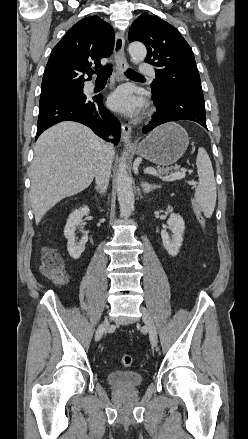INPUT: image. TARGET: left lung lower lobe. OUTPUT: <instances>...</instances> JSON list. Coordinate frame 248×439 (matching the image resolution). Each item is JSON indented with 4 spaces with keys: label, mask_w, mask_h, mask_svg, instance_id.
I'll list each match as a JSON object with an SVG mask.
<instances>
[{
    "label": "left lung lower lobe",
    "mask_w": 248,
    "mask_h": 439,
    "mask_svg": "<svg viewBox=\"0 0 248 439\" xmlns=\"http://www.w3.org/2000/svg\"><path fill=\"white\" fill-rule=\"evenodd\" d=\"M152 100L157 111L152 121L143 128V133H148L163 123L177 120L194 121L207 129L204 99L181 94H153Z\"/></svg>",
    "instance_id": "obj_1"
}]
</instances>
